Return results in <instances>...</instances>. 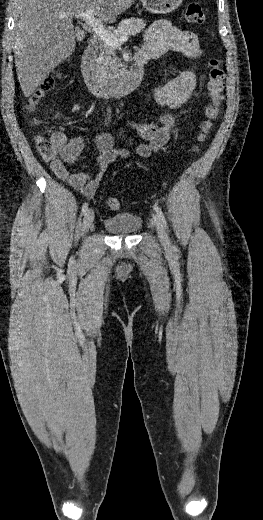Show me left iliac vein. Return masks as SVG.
Wrapping results in <instances>:
<instances>
[{
    "mask_svg": "<svg viewBox=\"0 0 263 520\" xmlns=\"http://www.w3.org/2000/svg\"><path fill=\"white\" fill-rule=\"evenodd\" d=\"M153 220H154V225L156 227L160 242L163 245H168L169 244L168 235L166 233V230H165L161 220L159 219V217L156 214L153 215Z\"/></svg>",
    "mask_w": 263,
    "mask_h": 520,
    "instance_id": "1",
    "label": "left iliac vein"
}]
</instances>
